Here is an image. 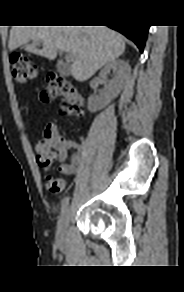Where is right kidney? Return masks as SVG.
Here are the masks:
<instances>
[{
	"instance_id": "right-kidney-1",
	"label": "right kidney",
	"mask_w": 184,
	"mask_h": 292,
	"mask_svg": "<svg viewBox=\"0 0 184 292\" xmlns=\"http://www.w3.org/2000/svg\"><path fill=\"white\" fill-rule=\"evenodd\" d=\"M115 74V77L108 81L107 77L110 72ZM131 73L129 63L123 59H115L108 62L99 75L105 82V91L100 97L90 96L88 98V110L96 112L108 105L123 89L125 81Z\"/></svg>"
}]
</instances>
